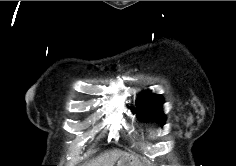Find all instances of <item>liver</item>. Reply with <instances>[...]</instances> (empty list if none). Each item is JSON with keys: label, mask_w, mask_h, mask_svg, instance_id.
Returning a JSON list of instances; mask_svg holds the SVG:
<instances>
[{"label": "liver", "mask_w": 236, "mask_h": 166, "mask_svg": "<svg viewBox=\"0 0 236 166\" xmlns=\"http://www.w3.org/2000/svg\"><path fill=\"white\" fill-rule=\"evenodd\" d=\"M127 158H131L134 161V158L128 153L115 149L101 154L96 159L86 163L85 166H114L117 161L119 162V160ZM134 163L137 164L136 161Z\"/></svg>", "instance_id": "1"}]
</instances>
